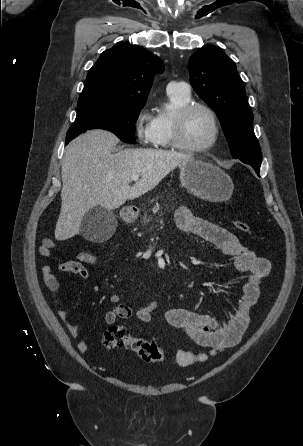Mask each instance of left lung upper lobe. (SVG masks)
<instances>
[{"mask_svg": "<svg viewBox=\"0 0 303 446\" xmlns=\"http://www.w3.org/2000/svg\"><path fill=\"white\" fill-rule=\"evenodd\" d=\"M188 69L192 87L216 112L232 156L259 170L262 157L253 113L235 63L221 49L209 46L190 57Z\"/></svg>", "mask_w": 303, "mask_h": 446, "instance_id": "5c2ea615", "label": "left lung upper lobe"}]
</instances>
